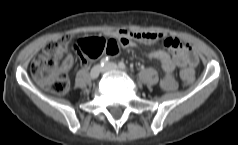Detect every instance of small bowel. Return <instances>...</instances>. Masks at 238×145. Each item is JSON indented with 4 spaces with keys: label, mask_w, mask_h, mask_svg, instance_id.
<instances>
[{
    "label": "small bowel",
    "mask_w": 238,
    "mask_h": 145,
    "mask_svg": "<svg viewBox=\"0 0 238 145\" xmlns=\"http://www.w3.org/2000/svg\"><path fill=\"white\" fill-rule=\"evenodd\" d=\"M109 36L116 39L123 48L134 47L137 42L154 43L164 41V45L172 51V56L164 50H155L146 53L147 57L156 59L161 64L164 75L160 85L164 91H173L177 87V81L174 75L176 68L181 69V78L183 80L184 72L190 73L192 77L191 81L193 80V67L197 64L198 59L190 43L181 42L177 37L167 32H138L118 29L110 32ZM72 65L73 57L68 54L61 64L60 71L67 72Z\"/></svg>",
    "instance_id": "obj_1"
}]
</instances>
